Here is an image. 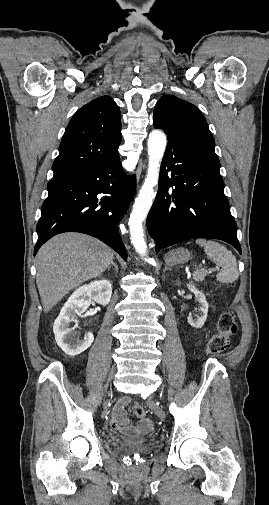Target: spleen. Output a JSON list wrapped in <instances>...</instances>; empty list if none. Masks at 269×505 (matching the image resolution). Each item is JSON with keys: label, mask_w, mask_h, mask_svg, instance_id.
I'll list each match as a JSON object with an SVG mask.
<instances>
[{"label": "spleen", "mask_w": 269, "mask_h": 505, "mask_svg": "<svg viewBox=\"0 0 269 505\" xmlns=\"http://www.w3.org/2000/svg\"><path fill=\"white\" fill-rule=\"evenodd\" d=\"M196 244L204 248L208 259L220 266L222 270L216 275V278L221 283H232L239 277L237 261L231 251L224 245L213 240L203 238L196 239Z\"/></svg>", "instance_id": "obj_1"}]
</instances>
